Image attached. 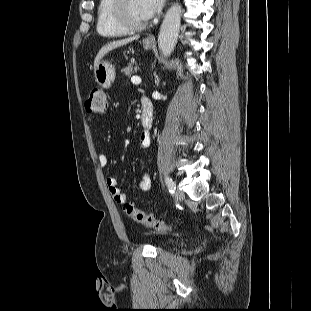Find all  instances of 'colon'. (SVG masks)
Segmentation results:
<instances>
[{
  "mask_svg": "<svg viewBox=\"0 0 311 311\" xmlns=\"http://www.w3.org/2000/svg\"><path fill=\"white\" fill-rule=\"evenodd\" d=\"M108 103L106 93L100 88H95L90 92L85 102V110L89 114L103 115L107 112ZM124 209L129 218L146 227L153 228L159 232L171 231V226L155 219L152 215L138 209L131 203H124Z\"/></svg>",
  "mask_w": 311,
  "mask_h": 311,
  "instance_id": "obj_1",
  "label": "colon"
}]
</instances>
